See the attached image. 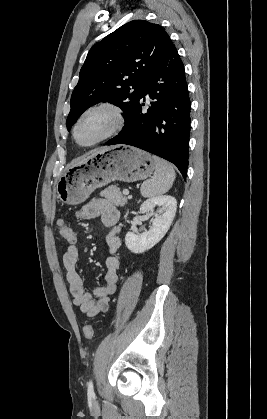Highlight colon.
<instances>
[{"mask_svg":"<svg viewBox=\"0 0 267 419\" xmlns=\"http://www.w3.org/2000/svg\"><path fill=\"white\" fill-rule=\"evenodd\" d=\"M58 226L60 235L66 242L72 243L76 241L75 231L70 228L65 220H59ZM83 332L86 339H91L94 335V327L88 324L83 328Z\"/></svg>","mask_w":267,"mask_h":419,"instance_id":"obj_1","label":"colon"}]
</instances>
